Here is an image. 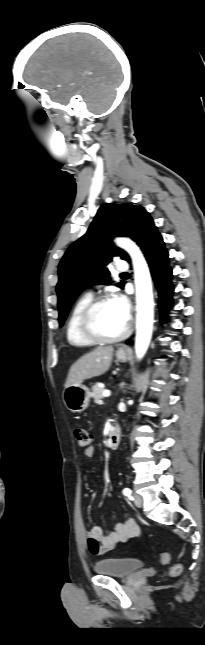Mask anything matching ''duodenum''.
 <instances>
[{"label": "duodenum", "instance_id": "obj_1", "mask_svg": "<svg viewBox=\"0 0 205 645\" xmlns=\"http://www.w3.org/2000/svg\"><path fill=\"white\" fill-rule=\"evenodd\" d=\"M121 439V431L118 426H115L111 429L109 438H108V446L110 449H115L120 443Z\"/></svg>", "mask_w": 205, "mask_h": 645}]
</instances>
